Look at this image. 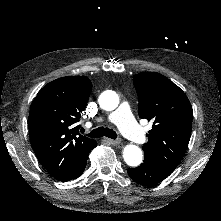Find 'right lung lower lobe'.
Listing matches in <instances>:
<instances>
[{"label": "right lung lower lobe", "mask_w": 221, "mask_h": 221, "mask_svg": "<svg viewBox=\"0 0 221 221\" xmlns=\"http://www.w3.org/2000/svg\"><path fill=\"white\" fill-rule=\"evenodd\" d=\"M96 146H97V144H96ZM96 146H95V147H96ZM87 157H88V156H87ZM87 157H86V159L78 166V168H77L75 171L71 172L69 175H67L66 177H64L63 179H61V180H59V181H69V180H72V179H75V178L79 177V176L83 173V171H84V169H85V167H86Z\"/></svg>", "instance_id": "obj_1"}]
</instances>
